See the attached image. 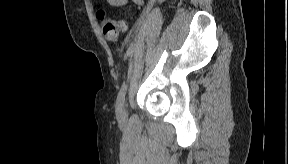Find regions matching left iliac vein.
<instances>
[{
    "label": "left iliac vein",
    "instance_id": "1",
    "mask_svg": "<svg viewBox=\"0 0 288 164\" xmlns=\"http://www.w3.org/2000/svg\"><path fill=\"white\" fill-rule=\"evenodd\" d=\"M118 116H119V119H120V120L126 119V117H127V111H126L125 106H122V108H121L120 111H119Z\"/></svg>",
    "mask_w": 288,
    "mask_h": 164
}]
</instances>
